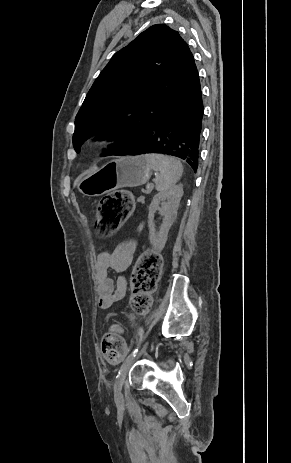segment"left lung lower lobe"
<instances>
[{"instance_id": "obj_1", "label": "left lung lower lobe", "mask_w": 291, "mask_h": 463, "mask_svg": "<svg viewBox=\"0 0 291 463\" xmlns=\"http://www.w3.org/2000/svg\"><path fill=\"white\" fill-rule=\"evenodd\" d=\"M199 75L181 87L159 117L124 155L164 154L185 160L196 172L203 119Z\"/></svg>"}]
</instances>
